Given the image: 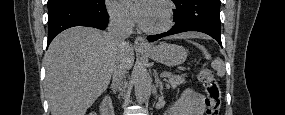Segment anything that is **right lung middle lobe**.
<instances>
[{"mask_svg":"<svg viewBox=\"0 0 285 115\" xmlns=\"http://www.w3.org/2000/svg\"><path fill=\"white\" fill-rule=\"evenodd\" d=\"M68 4H79L92 8H104V0H48V12Z\"/></svg>","mask_w":285,"mask_h":115,"instance_id":"obj_1","label":"right lung middle lobe"}]
</instances>
